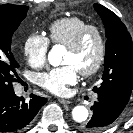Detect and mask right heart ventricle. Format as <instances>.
<instances>
[{
    "instance_id": "e07e8e85",
    "label": "right heart ventricle",
    "mask_w": 133,
    "mask_h": 133,
    "mask_svg": "<svg viewBox=\"0 0 133 133\" xmlns=\"http://www.w3.org/2000/svg\"><path fill=\"white\" fill-rule=\"evenodd\" d=\"M88 22L77 16L64 17L49 26V39L53 44L67 46Z\"/></svg>"
}]
</instances>
